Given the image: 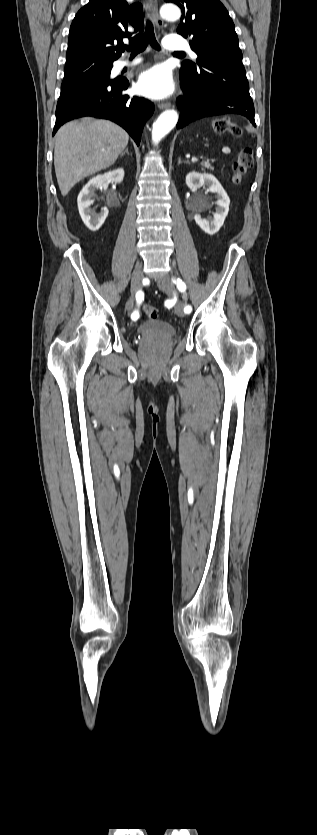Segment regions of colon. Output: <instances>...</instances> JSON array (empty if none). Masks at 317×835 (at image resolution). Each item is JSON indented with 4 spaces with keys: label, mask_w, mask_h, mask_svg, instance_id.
Returning a JSON list of instances; mask_svg holds the SVG:
<instances>
[{
    "label": "colon",
    "mask_w": 317,
    "mask_h": 835,
    "mask_svg": "<svg viewBox=\"0 0 317 835\" xmlns=\"http://www.w3.org/2000/svg\"><path fill=\"white\" fill-rule=\"evenodd\" d=\"M212 129L217 134L229 133L236 137L242 135L241 128L237 124L230 122L228 118L215 120L212 123ZM253 163V150L251 148H243L232 165L231 179L235 185H239L242 182L247 170L253 165ZM144 311L150 319H156L159 316V312L154 306L145 305Z\"/></svg>",
    "instance_id": "1"
}]
</instances>
